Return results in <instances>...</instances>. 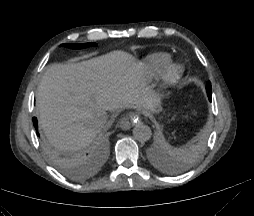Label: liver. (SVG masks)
Segmentation results:
<instances>
[{
	"mask_svg": "<svg viewBox=\"0 0 254 216\" xmlns=\"http://www.w3.org/2000/svg\"><path fill=\"white\" fill-rule=\"evenodd\" d=\"M139 70L140 63L121 51L50 65L36 93L39 124L49 144L61 152L77 151L101 131L92 126L96 114L129 107L151 109Z\"/></svg>",
	"mask_w": 254,
	"mask_h": 216,
	"instance_id": "6515ba94",
	"label": "liver"
}]
</instances>
